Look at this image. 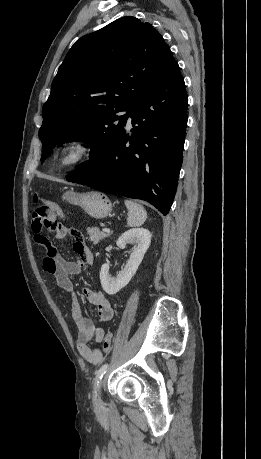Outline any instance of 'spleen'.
<instances>
[{
  "mask_svg": "<svg viewBox=\"0 0 261 459\" xmlns=\"http://www.w3.org/2000/svg\"><path fill=\"white\" fill-rule=\"evenodd\" d=\"M125 206L128 210L127 225L129 227H139L147 219V212L144 207L131 200H125Z\"/></svg>",
  "mask_w": 261,
  "mask_h": 459,
  "instance_id": "spleen-1",
  "label": "spleen"
}]
</instances>
